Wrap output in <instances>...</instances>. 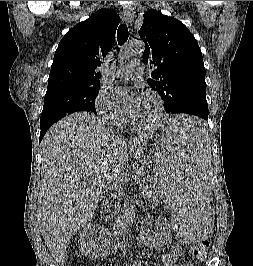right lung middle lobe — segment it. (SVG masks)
Returning <instances> with one entry per match:
<instances>
[{"label":"right lung middle lobe","instance_id":"1","mask_svg":"<svg viewBox=\"0 0 253 266\" xmlns=\"http://www.w3.org/2000/svg\"><path fill=\"white\" fill-rule=\"evenodd\" d=\"M99 88L100 84L47 91L40 117V128L50 127L53 123L74 112L88 111L97 114L95 99Z\"/></svg>","mask_w":253,"mask_h":266}]
</instances>
